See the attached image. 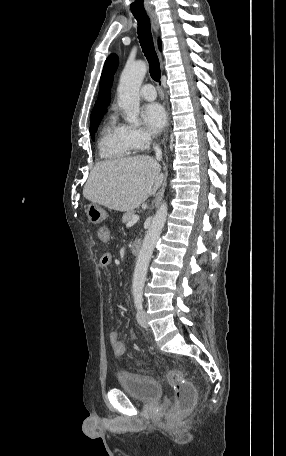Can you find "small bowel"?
Instances as JSON below:
<instances>
[{"mask_svg":"<svg viewBox=\"0 0 286 456\" xmlns=\"http://www.w3.org/2000/svg\"><path fill=\"white\" fill-rule=\"evenodd\" d=\"M98 237L103 242H108L110 239V231L109 228L103 226L98 229ZM112 262V255L110 253H105L101 256L99 261V266L104 268L111 264ZM109 341L113 347L114 352L117 355H122L127 350L126 345L120 340L119 334L117 331H112L109 334Z\"/></svg>","mask_w":286,"mask_h":456,"instance_id":"small-bowel-1","label":"small bowel"}]
</instances>
